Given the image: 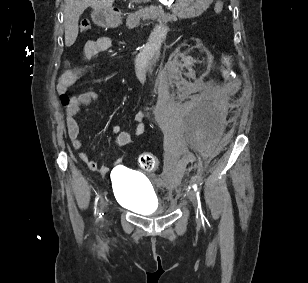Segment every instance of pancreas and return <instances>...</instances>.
I'll list each match as a JSON object with an SVG mask.
<instances>
[{
	"mask_svg": "<svg viewBox=\"0 0 308 283\" xmlns=\"http://www.w3.org/2000/svg\"><path fill=\"white\" fill-rule=\"evenodd\" d=\"M146 19H158L163 23L177 21L176 15L166 13L160 7L150 6L140 9L134 13H130L126 19V26L128 28H134L140 24L141 20Z\"/></svg>",
	"mask_w": 308,
	"mask_h": 283,
	"instance_id": "pancreas-1",
	"label": "pancreas"
}]
</instances>
